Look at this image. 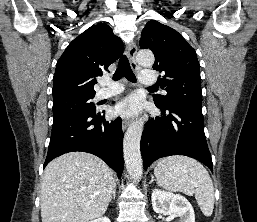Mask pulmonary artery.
I'll list each match as a JSON object with an SVG mask.
<instances>
[{
	"mask_svg": "<svg viewBox=\"0 0 257 222\" xmlns=\"http://www.w3.org/2000/svg\"><path fill=\"white\" fill-rule=\"evenodd\" d=\"M140 82L144 85H154L157 82L156 73L153 71H141L139 75ZM102 87L96 92L97 99L107 98L117 95L124 90V87L118 83H114L104 78L101 81Z\"/></svg>",
	"mask_w": 257,
	"mask_h": 222,
	"instance_id": "e3ab8cb5",
	"label": "pulmonary artery"
}]
</instances>
